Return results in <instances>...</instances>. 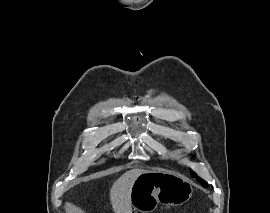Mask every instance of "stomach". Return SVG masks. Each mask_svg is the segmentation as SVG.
I'll return each instance as SVG.
<instances>
[{
  "label": "stomach",
  "instance_id": "1",
  "mask_svg": "<svg viewBox=\"0 0 270 213\" xmlns=\"http://www.w3.org/2000/svg\"><path fill=\"white\" fill-rule=\"evenodd\" d=\"M191 182L164 169H152L138 176L131 189V204L141 213H152L159 204L178 206L192 196Z\"/></svg>",
  "mask_w": 270,
  "mask_h": 213
}]
</instances>
